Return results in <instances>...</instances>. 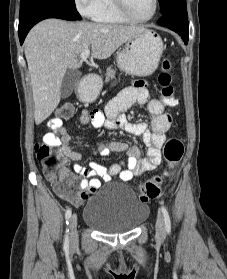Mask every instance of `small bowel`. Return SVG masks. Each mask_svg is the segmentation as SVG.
I'll use <instances>...</instances> for the list:
<instances>
[{
	"mask_svg": "<svg viewBox=\"0 0 227 279\" xmlns=\"http://www.w3.org/2000/svg\"><path fill=\"white\" fill-rule=\"evenodd\" d=\"M135 104L147 106L153 116L151 126L146 122H132L123 115ZM163 109L164 103L161 100L150 98L146 83L136 81L110 100L104 113L99 110H83L80 115V122L83 125L119 127L127 133L141 136L147 147V158H140L137 149H128V145L120 141H106L97 150L86 155L82 154L71 149L69 145L71 137L62 127V122L51 120L49 129L61 135L58 146L63 154L74 162L71 168L61 170L60 178L78 176L81 178V187L88 191L97 189L101 181H113L116 176L127 181L144 172L155 170L161 163L160 148L165 142L166 132L170 129L173 120L170 114L163 113ZM112 151H127V160L114 163L109 167H104L95 161L96 157H107ZM81 162H86L87 166L82 165Z\"/></svg>",
	"mask_w": 227,
	"mask_h": 279,
	"instance_id": "1",
	"label": "small bowel"
}]
</instances>
